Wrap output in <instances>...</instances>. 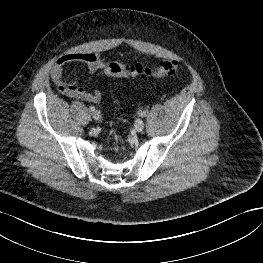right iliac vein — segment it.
Here are the masks:
<instances>
[{
	"mask_svg": "<svg viewBox=\"0 0 263 263\" xmlns=\"http://www.w3.org/2000/svg\"><path fill=\"white\" fill-rule=\"evenodd\" d=\"M92 116L95 120H99L101 118V113L96 110L92 113Z\"/></svg>",
	"mask_w": 263,
	"mask_h": 263,
	"instance_id": "1",
	"label": "right iliac vein"
}]
</instances>
